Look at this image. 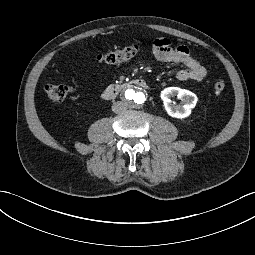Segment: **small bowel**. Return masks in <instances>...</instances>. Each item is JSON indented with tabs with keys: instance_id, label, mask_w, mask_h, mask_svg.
<instances>
[{
	"instance_id": "obj_1",
	"label": "small bowel",
	"mask_w": 255,
	"mask_h": 255,
	"mask_svg": "<svg viewBox=\"0 0 255 255\" xmlns=\"http://www.w3.org/2000/svg\"><path fill=\"white\" fill-rule=\"evenodd\" d=\"M151 56L156 61L183 65L185 68L177 72V78L181 81H201L207 74L204 65L192 55L187 46L173 47L168 39H156L152 45Z\"/></svg>"
}]
</instances>
